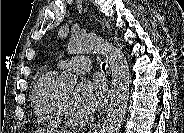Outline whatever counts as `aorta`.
<instances>
[{"label":"aorta","instance_id":"762f6f07","mask_svg":"<svg viewBox=\"0 0 184 133\" xmlns=\"http://www.w3.org/2000/svg\"><path fill=\"white\" fill-rule=\"evenodd\" d=\"M68 52L72 55L98 52L106 57L112 73V97L101 133H118L129 100L130 75L128 62L124 54L104 39L79 34L71 36ZM76 83L77 78L70 72L62 74L61 85L65 89H72Z\"/></svg>","mask_w":184,"mask_h":133}]
</instances>
